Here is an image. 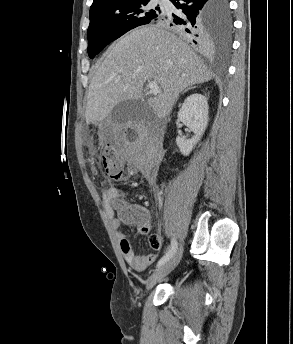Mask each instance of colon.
Segmentation results:
<instances>
[{
    "mask_svg": "<svg viewBox=\"0 0 293 344\" xmlns=\"http://www.w3.org/2000/svg\"><path fill=\"white\" fill-rule=\"evenodd\" d=\"M130 138H135L134 132H131ZM101 160L103 169L113 179H124L127 176L124 163L111 146L103 148ZM112 205L124 224L134 226L141 233L149 232L148 216L143 208L129 205L121 196H116L112 201Z\"/></svg>",
    "mask_w": 293,
    "mask_h": 344,
    "instance_id": "obj_1",
    "label": "colon"
}]
</instances>
